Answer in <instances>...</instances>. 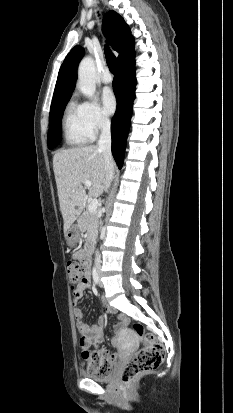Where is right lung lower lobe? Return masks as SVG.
Returning a JSON list of instances; mask_svg holds the SVG:
<instances>
[{
	"label": "right lung lower lobe",
	"mask_w": 233,
	"mask_h": 413,
	"mask_svg": "<svg viewBox=\"0 0 233 413\" xmlns=\"http://www.w3.org/2000/svg\"><path fill=\"white\" fill-rule=\"evenodd\" d=\"M113 87L117 110L111 122L112 154L119 168L123 165L132 105L135 98V51L117 62Z\"/></svg>",
	"instance_id": "right-lung-lower-lobe-1"
}]
</instances>
